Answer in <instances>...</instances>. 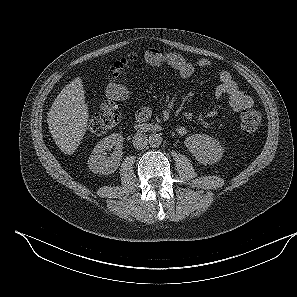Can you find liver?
I'll list each match as a JSON object with an SVG mask.
<instances>
[{"mask_svg": "<svg viewBox=\"0 0 297 297\" xmlns=\"http://www.w3.org/2000/svg\"><path fill=\"white\" fill-rule=\"evenodd\" d=\"M89 114L82 80L66 85L53 102L47 116L49 131L65 154H73L87 130Z\"/></svg>", "mask_w": 297, "mask_h": 297, "instance_id": "6515ba94", "label": "liver"}]
</instances>
